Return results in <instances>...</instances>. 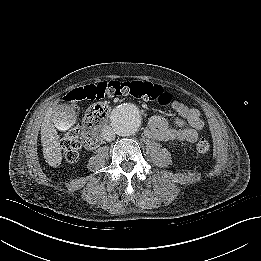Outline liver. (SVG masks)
Listing matches in <instances>:
<instances>
[{
	"mask_svg": "<svg viewBox=\"0 0 261 261\" xmlns=\"http://www.w3.org/2000/svg\"><path fill=\"white\" fill-rule=\"evenodd\" d=\"M58 101L59 99L54 101L52 107L47 109L40 131L44 159L51 167L59 166L62 161L59 135L56 129L65 131L75 123V115L62 113L61 117L59 116L56 110Z\"/></svg>",
	"mask_w": 261,
	"mask_h": 261,
	"instance_id": "1",
	"label": "liver"
}]
</instances>
